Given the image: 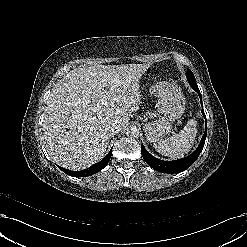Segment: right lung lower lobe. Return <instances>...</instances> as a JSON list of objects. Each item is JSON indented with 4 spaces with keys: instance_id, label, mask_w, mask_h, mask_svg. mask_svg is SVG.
I'll use <instances>...</instances> for the list:
<instances>
[{
    "instance_id": "98d812e1",
    "label": "right lung lower lobe",
    "mask_w": 247,
    "mask_h": 247,
    "mask_svg": "<svg viewBox=\"0 0 247 247\" xmlns=\"http://www.w3.org/2000/svg\"><path fill=\"white\" fill-rule=\"evenodd\" d=\"M111 154H112V149L109 151V153L105 156V158L103 160H101L100 162L90 166L87 169L81 170V171H70L67 169H64L62 167H59L64 173H66L69 176H73V177H86V176H90L92 174H95L99 171H101L109 162L110 158H111Z\"/></svg>"
}]
</instances>
